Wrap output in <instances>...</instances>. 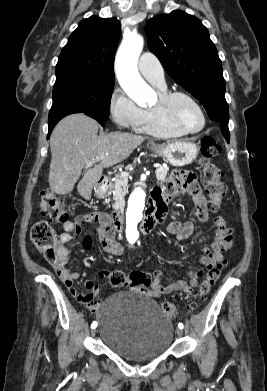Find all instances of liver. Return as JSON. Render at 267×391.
I'll return each instance as SVG.
<instances>
[{
    "label": "liver",
    "instance_id": "6515ba94",
    "mask_svg": "<svg viewBox=\"0 0 267 391\" xmlns=\"http://www.w3.org/2000/svg\"><path fill=\"white\" fill-rule=\"evenodd\" d=\"M98 129V122L83 113L69 115L56 125L50 137L49 185L53 192L70 193L87 163L108 154L98 165L88 167L78 183L79 194L90 199L92 188L101 178L103 168L127 159L146 139L145 136L125 132L98 136Z\"/></svg>",
    "mask_w": 267,
    "mask_h": 391
}]
</instances>
